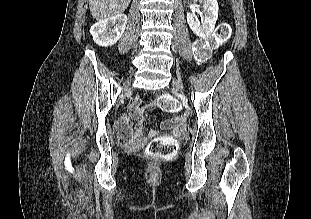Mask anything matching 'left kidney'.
Wrapping results in <instances>:
<instances>
[{
  "mask_svg": "<svg viewBox=\"0 0 311 219\" xmlns=\"http://www.w3.org/2000/svg\"><path fill=\"white\" fill-rule=\"evenodd\" d=\"M199 2L202 4L203 13L201 23L195 20V15L191 12L187 13V23L194 34L207 37L213 32L218 18V2L217 0H199Z\"/></svg>",
  "mask_w": 311,
  "mask_h": 219,
  "instance_id": "5707ae66",
  "label": "left kidney"
}]
</instances>
